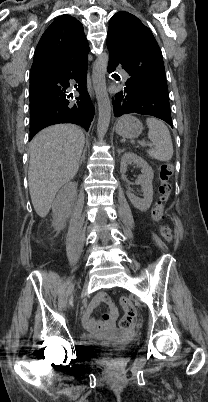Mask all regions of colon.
Listing matches in <instances>:
<instances>
[{"instance_id": "1", "label": "colon", "mask_w": 208, "mask_h": 402, "mask_svg": "<svg viewBox=\"0 0 208 402\" xmlns=\"http://www.w3.org/2000/svg\"><path fill=\"white\" fill-rule=\"evenodd\" d=\"M174 175V165L170 162H163L159 166V197L156 201L152 211L151 216L153 220L160 224V234L162 238L171 243L174 239V233L169 224L163 223L164 212L167 203L170 200L172 193V182L171 179ZM119 304L122 306L123 316L120 320V326L122 328H128L134 324V316L136 315V308L134 307V302L130 297H121L119 299Z\"/></svg>"}]
</instances>
